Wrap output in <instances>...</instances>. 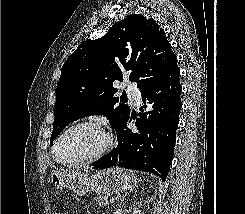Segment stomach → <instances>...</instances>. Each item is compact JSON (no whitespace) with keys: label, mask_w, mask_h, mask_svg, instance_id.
Segmentation results:
<instances>
[{"label":"stomach","mask_w":245,"mask_h":214,"mask_svg":"<svg viewBox=\"0 0 245 214\" xmlns=\"http://www.w3.org/2000/svg\"><path fill=\"white\" fill-rule=\"evenodd\" d=\"M49 182L57 190L68 188L76 195L83 196L88 192L107 195L124 192L135 185L137 179L130 171L114 167L91 176L79 171L65 173L55 170L51 173Z\"/></svg>","instance_id":"0dacf381"}]
</instances>
